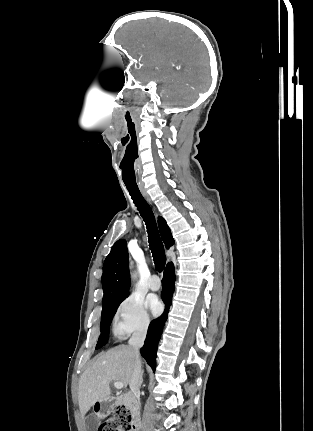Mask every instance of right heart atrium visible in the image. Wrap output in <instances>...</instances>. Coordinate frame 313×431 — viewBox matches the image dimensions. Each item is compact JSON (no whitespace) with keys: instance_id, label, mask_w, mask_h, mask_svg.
<instances>
[{"instance_id":"right-heart-atrium-1","label":"right heart atrium","mask_w":313,"mask_h":431,"mask_svg":"<svg viewBox=\"0 0 313 431\" xmlns=\"http://www.w3.org/2000/svg\"><path fill=\"white\" fill-rule=\"evenodd\" d=\"M151 319L144 301L129 295L118 306L114 317V332L118 336L145 333Z\"/></svg>"}]
</instances>
